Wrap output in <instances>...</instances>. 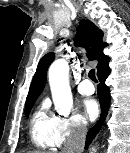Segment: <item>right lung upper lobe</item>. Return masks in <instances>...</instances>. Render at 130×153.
Listing matches in <instances>:
<instances>
[{
    "instance_id": "obj_1",
    "label": "right lung upper lobe",
    "mask_w": 130,
    "mask_h": 153,
    "mask_svg": "<svg viewBox=\"0 0 130 153\" xmlns=\"http://www.w3.org/2000/svg\"><path fill=\"white\" fill-rule=\"evenodd\" d=\"M103 32L90 20H82L79 24L77 34L75 36V45L85 46L89 60H98L97 74L108 66L109 57L103 54V49L106 43L102 41ZM54 53L50 52L44 55L37 67L36 73L33 77L29 93L26 99V104L35 102L41 94L46 83V74L49 65L54 60Z\"/></svg>"
}]
</instances>
